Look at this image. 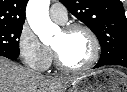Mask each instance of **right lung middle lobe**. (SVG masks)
I'll return each mask as SVG.
<instances>
[{
    "label": "right lung middle lobe",
    "mask_w": 127,
    "mask_h": 92,
    "mask_svg": "<svg viewBox=\"0 0 127 92\" xmlns=\"http://www.w3.org/2000/svg\"><path fill=\"white\" fill-rule=\"evenodd\" d=\"M23 25L0 26V52L19 55V41Z\"/></svg>",
    "instance_id": "right-lung-middle-lobe-1"
}]
</instances>
